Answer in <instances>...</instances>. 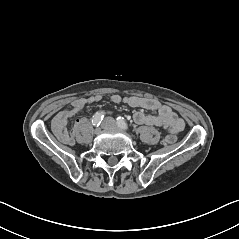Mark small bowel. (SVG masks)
<instances>
[{
	"instance_id": "c3829d8e",
	"label": "small bowel",
	"mask_w": 239,
	"mask_h": 239,
	"mask_svg": "<svg viewBox=\"0 0 239 239\" xmlns=\"http://www.w3.org/2000/svg\"><path fill=\"white\" fill-rule=\"evenodd\" d=\"M101 95H91L80 98L72 102L71 109L60 111L53 119L52 129L57 138L65 144L73 145L77 131L75 129L68 131L67 126L69 120L73 119L76 113L83 107L101 101ZM110 100L114 103H125L133 108H143L156 111V114L150 115L143 111H137L133 115V120L139 125L159 126L170 133L178 134L184 128V121L169 107L160 101L149 97H121L119 94L110 96ZM85 123V119H77L76 125Z\"/></svg>"
}]
</instances>
